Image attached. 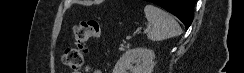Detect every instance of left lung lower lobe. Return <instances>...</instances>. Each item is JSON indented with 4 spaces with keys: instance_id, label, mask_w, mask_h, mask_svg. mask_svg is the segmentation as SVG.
Segmentation results:
<instances>
[{
    "instance_id": "obj_1",
    "label": "left lung lower lobe",
    "mask_w": 244,
    "mask_h": 73,
    "mask_svg": "<svg viewBox=\"0 0 244 73\" xmlns=\"http://www.w3.org/2000/svg\"><path fill=\"white\" fill-rule=\"evenodd\" d=\"M178 17L188 28L193 20L195 0H147Z\"/></svg>"
}]
</instances>
